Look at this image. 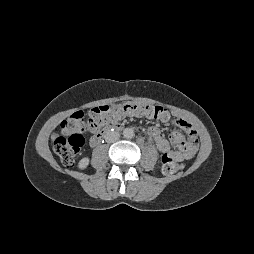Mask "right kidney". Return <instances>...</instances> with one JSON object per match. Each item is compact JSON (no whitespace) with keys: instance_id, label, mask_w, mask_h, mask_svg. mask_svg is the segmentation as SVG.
Instances as JSON below:
<instances>
[{"instance_id":"obj_1","label":"right kidney","mask_w":254,"mask_h":254,"mask_svg":"<svg viewBox=\"0 0 254 254\" xmlns=\"http://www.w3.org/2000/svg\"><path fill=\"white\" fill-rule=\"evenodd\" d=\"M88 164H89V158H88V157H84V158H82V159L79 161L78 167H79L80 169H85V168H87Z\"/></svg>"}]
</instances>
